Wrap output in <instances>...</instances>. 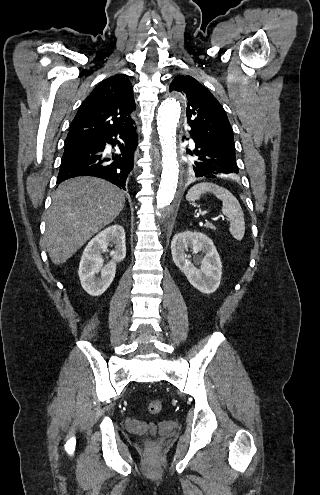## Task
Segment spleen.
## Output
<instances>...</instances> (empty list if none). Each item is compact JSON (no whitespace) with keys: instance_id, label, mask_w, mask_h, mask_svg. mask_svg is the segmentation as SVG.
I'll use <instances>...</instances> for the list:
<instances>
[{"instance_id":"obj_1","label":"spleen","mask_w":320,"mask_h":495,"mask_svg":"<svg viewBox=\"0 0 320 495\" xmlns=\"http://www.w3.org/2000/svg\"><path fill=\"white\" fill-rule=\"evenodd\" d=\"M206 192L213 193L222 201V213L230 222L229 231L236 240H241L245 234V221L244 213L236 197L226 188L214 183L202 182L188 191L186 199L190 202L198 200Z\"/></svg>"}]
</instances>
